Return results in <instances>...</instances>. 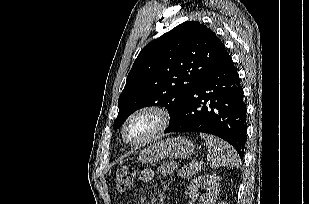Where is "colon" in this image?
Returning <instances> with one entry per match:
<instances>
[{"label": "colon", "mask_w": 309, "mask_h": 204, "mask_svg": "<svg viewBox=\"0 0 309 204\" xmlns=\"http://www.w3.org/2000/svg\"><path fill=\"white\" fill-rule=\"evenodd\" d=\"M134 180V173L127 167L117 172L115 186L119 193H124Z\"/></svg>", "instance_id": "colon-1"}]
</instances>
